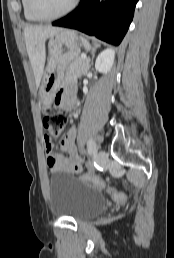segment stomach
<instances>
[{"mask_svg":"<svg viewBox=\"0 0 174 258\" xmlns=\"http://www.w3.org/2000/svg\"><path fill=\"white\" fill-rule=\"evenodd\" d=\"M81 42L72 30H61L48 42V63L40 87V102L43 107L52 104L53 97L64 78L67 65L79 57Z\"/></svg>","mask_w":174,"mask_h":258,"instance_id":"obj_1","label":"stomach"}]
</instances>
